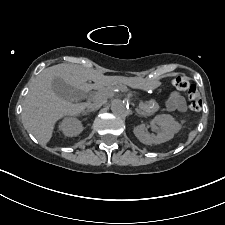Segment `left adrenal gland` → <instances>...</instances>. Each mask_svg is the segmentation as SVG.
<instances>
[{"label":"left adrenal gland","mask_w":225,"mask_h":225,"mask_svg":"<svg viewBox=\"0 0 225 225\" xmlns=\"http://www.w3.org/2000/svg\"><path fill=\"white\" fill-rule=\"evenodd\" d=\"M136 111H137V114H138V115H140V116H145L144 113H143L142 111H140L139 109H136Z\"/></svg>","instance_id":"obj_1"}]
</instances>
